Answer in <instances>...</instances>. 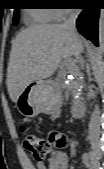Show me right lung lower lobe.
Here are the masks:
<instances>
[{
  "label": "right lung lower lobe",
  "mask_w": 104,
  "mask_h": 169,
  "mask_svg": "<svg viewBox=\"0 0 104 169\" xmlns=\"http://www.w3.org/2000/svg\"><path fill=\"white\" fill-rule=\"evenodd\" d=\"M98 18L99 8H84L77 19L78 31L88 40L98 46Z\"/></svg>",
  "instance_id": "obj_1"
}]
</instances>
